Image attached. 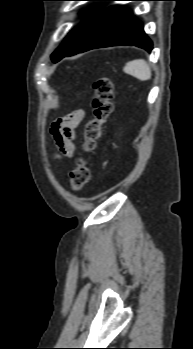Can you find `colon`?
I'll return each mask as SVG.
<instances>
[{"label": "colon", "mask_w": 193, "mask_h": 349, "mask_svg": "<svg viewBox=\"0 0 193 349\" xmlns=\"http://www.w3.org/2000/svg\"><path fill=\"white\" fill-rule=\"evenodd\" d=\"M93 98V116L85 126L82 154L75 160V167L70 173L73 190L80 191L90 180L89 155L95 150L102 127L113 111L114 85L107 77L95 81Z\"/></svg>", "instance_id": "5ec220e1"}]
</instances>
